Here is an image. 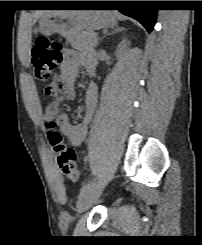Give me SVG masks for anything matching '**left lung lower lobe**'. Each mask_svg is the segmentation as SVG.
I'll use <instances>...</instances> for the list:
<instances>
[{"mask_svg":"<svg viewBox=\"0 0 202 245\" xmlns=\"http://www.w3.org/2000/svg\"><path fill=\"white\" fill-rule=\"evenodd\" d=\"M137 2L139 1H117L114 2V5L119 7L118 11L138 20L148 32H151L156 23L157 10L142 7ZM106 3L105 1H84L85 6H98Z\"/></svg>","mask_w":202,"mask_h":245,"instance_id":"1","label":"left lung lower lobe"}]
</instances>
